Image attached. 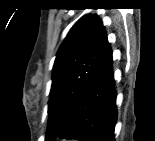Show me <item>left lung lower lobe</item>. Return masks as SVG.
Instances as JSON below:
<instances>
[{
    "instance_id": "obj_1",
    "label": "left lung lower lobe",
    "mask_w": 155,
    "mask_h": 141,
    "mask_svg": "<svg viewBox=\"0 0 155 141\" xmlns=\"http://www.w3.org/2000/svg\"><path fill=\"white\" fill-rule=\"evenodd\" d=\"M112 62L108 45L94 75L65 119L60 138L114 141L117 106Z\"/></svg>"
}]
</instances>
